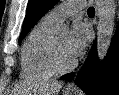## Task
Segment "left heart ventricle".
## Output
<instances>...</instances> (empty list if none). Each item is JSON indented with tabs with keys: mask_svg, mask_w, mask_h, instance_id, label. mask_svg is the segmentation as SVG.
Listing matches in <instances>:
<instances>
[{
	"mask_svg": "<svg viewBox=\"0 0 119 95\" xmlns=\"http://www.w3.org/2000/svg\"><path fill=\"white\" fill-rule=\"evenodd\" d=\"M67 35L61 34L55 36L58 59L62 64H69L74 59L68 54L66 49Z\"/></svg>",
	"mask_w": 119,
	"mask_h": 95,
	"instance_id": "1",
	"label": "left heart ventricle"
}]
</instances>
